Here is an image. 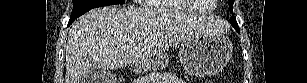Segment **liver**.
<instances>
[{"mask_svg":"<svg viewBox=\"0 0 307 83\" xmlns=\"http://www.w3.org/2000/svg\"><path fill=\"white\" fill-rule=\"evenodd\" d=\"M222 29L213 18L196 14L118 6L93 9L69 31L65 83H81L89 69L111 71L145 62L179 42L219 36Z\"/></svg>","mask_w":307,"mask_h":83,"instance_id":"6515ba94","label":"liver"}]
</instances>
